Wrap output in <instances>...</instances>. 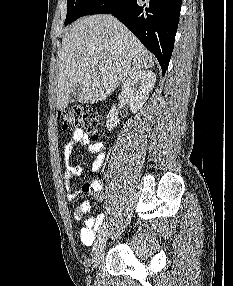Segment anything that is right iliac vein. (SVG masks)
Here are the masks:
<instances>
[{
  "label": "right iliac vein",
  "instance_id": "63e3f726",
  "mask_svg": "<svg viewBox=\"0 0 233 286\" xmlns=\"http://www.w3.org/2000/svg\"><path fill=\"white\" fill-rule=\"evenodd\" d=\"M107 239V233L103 232L94 243L92 253L93 268H96L103 257V250Z\"/></svg>",
  "mask_w": 233,
  "mask_h": 286
}]
</instances>
